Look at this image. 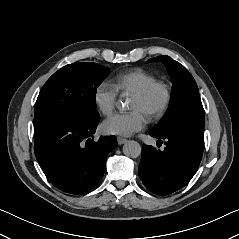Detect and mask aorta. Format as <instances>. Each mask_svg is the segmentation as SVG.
<instances>
[{"label":"aorta","mask_w":239,"mask_h":239,"mask_svg":"<svg viewBox=\"0 0 239 239\" xmlns=\"http://www.w3.org/2000/svg\"><path fill=\"white\" fill-rule=\"evenodd\" d=\"M122 108L124 107L123 102L121 101ZM123 153L129 157L136 158L141 153V147L138 142L129 140L126 141L123 145Z\"/></svg>","instance_id":"762f6f07"}]
</instances>
